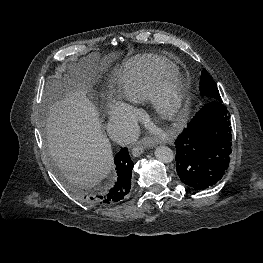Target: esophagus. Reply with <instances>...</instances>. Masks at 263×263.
I'll use <instances>...</instances> for the list:
<instances>
[{
  "instance_id": "34e87169",
  "label": "esophagus",
  "mask_w": 263,
  "mask_h": 263,
  "mask_svg": "<svg viewBox=\"0 0 263 263\" xmlns=\"http://www.w3.org/2000/svg\"><path fill=\"white\" fill-rule=\"evenodd\" d=\"M146 146L153 147L154 145H151L150 143H147ZM144 152V146L142 143H137L132 148V155L134 157L140 156Z\"/></svg>"
}]
</instances>
